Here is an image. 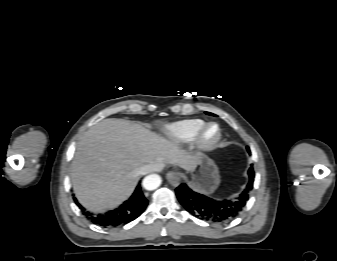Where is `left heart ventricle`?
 I'll use <instances>...</instances> for the list:
<instances>
[{
	"instance_id": "1",
	"label": "left heart ventricle",
	"mask_w": 337,
	"mask_h": 261,
	"mask_svg": "<svg viewBox=\"0 0 337 261\" xmlns=\"http://www.w3.org/2000/svg\"><path fill=\"white\" fill-rule=\"evenodd\" d=\"M215 133H216L215 128H211V129L207 132V138H208V139H211L212 137H214Z\"/></svg>"
}]
</instances>
